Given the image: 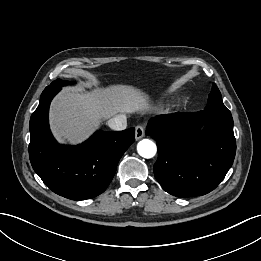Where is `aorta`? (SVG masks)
<instances>
[{"mask_svg": "<svg viewBox=\"0 0 261 261\" xmlns=\"http://www.w3.org/2000/svg\"><path fill=\"white\" fill-rule=\"evenodd\" d=\"M137 151L140 156L149 159L155 156L157 147L153 141L149 139H143L138 143Z\"/></svg>", "mask_w": 261, "mask_h": 261, "instance_id": "1", "label": "aorta"}]
</instances>
